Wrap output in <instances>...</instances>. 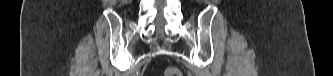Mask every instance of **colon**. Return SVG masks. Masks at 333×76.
Returning a JSON list of instances; mask_svg holds the SVG:
<instances>
[{"instance_id": "obj_1", "label": "colon", "mask_w": 333, "mask_h": 76, "mask_svg": "<svg viewBox=\"0 0 333 76\" xmlns=\"http://www.w3.org/2000/svg\"><path fill=\"white\" fill-rule=\"evenodd\" d=\"M165 76H181V72L179 69H177L176 67H169L166 71H165Z\"/></svg>"}]
</instances>
